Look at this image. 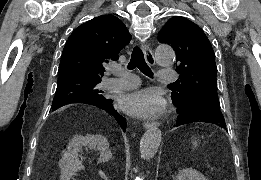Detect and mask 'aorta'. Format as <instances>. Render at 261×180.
<instances>
[{"label": "aorta", "mask_w": 261, "mask_h": 180, "mask_svg": "<svg viewBox=\"0 0 261 180\" xmlns=\"http://www.w3.org/2000/svg\"><path fill=\"white\" fill-rule=\"evenodd\" d=\"M175 59L174 50L167 45H159L155 51V61L159 66H170ZM162 133L156 128H150L145 132L140 142L141 157L150 160L154 157L161 143Z\"/></svg>", "instance_id": "obj_1"}]
</instances>
